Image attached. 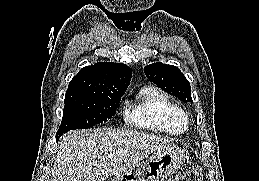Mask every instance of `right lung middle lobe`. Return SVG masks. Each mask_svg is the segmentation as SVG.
Returning a JSON list of instances; mask_svg holds the SVG:
<instances>
[{
  "instance_id": "dd1d6c3e",
  "label": "right lung middle lobe",
  "mask_w": 259,
  "mask_h": 181,
  "mask_svg": "<svg viewBox=\"0 0 259 181\" xmlns=\"http://www.w3.org/2000/svg\"><path fill=\"white\" fill-rule=\"evenodd\" d=\"M120 95L66 92L61 125L56 136L69 130L86 129L106 122L115 114Z\"/></svg>"
}]
</instances>
